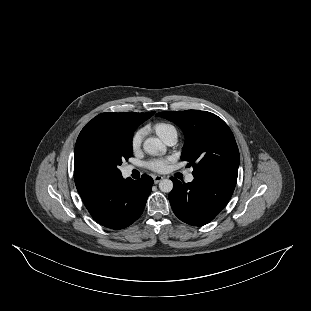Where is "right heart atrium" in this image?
I'll return each mask as SVG.
<instances>
[{
	"label": "right heart atrium",
	"mask_w": 311,
	"mask_h": 311,
	"mask_svg": "<svg viewBox=\"0 0 311 311\" xmlns=\"http://www.w3.org/2000/svg\"><path fill=\"white\" fill-rule=\"evenodd\" d=\"M144 134H145L144 128L138 129L132 134L130 139V148L132 151H136L139 148Z\"/></svg>",
	"instance_id": "1"
}]
</instances>
